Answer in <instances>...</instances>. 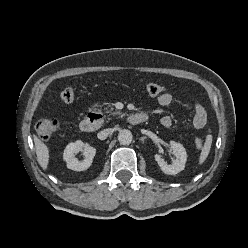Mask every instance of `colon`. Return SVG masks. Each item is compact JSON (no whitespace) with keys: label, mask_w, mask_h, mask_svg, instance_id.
Segmentation results:
<instances>
[{"label":"colon","mask_w":248,"mask_h":248,"mask_svg":"<svg viewBox=\"0 0 248 248\" xmlns=\"http://www.w3.org/2000/svg\"><path fill=\"white\" fill-rule=\"evenodd\" d=\"M145 91L151 96H157L164 92V87L157 83H148L145 85ZM61 99L64 102H72L75 99V92L68 87L62 90ZM37 131L41 138L48 140L55 135L59 129V122L55 118L41 119L36 125ZM195 146L198 150L204 147V142L201 138L195 139Z\"/></svg>","instance_id":"colon-1"}]
</instances>
